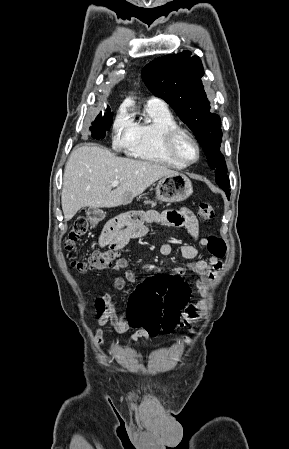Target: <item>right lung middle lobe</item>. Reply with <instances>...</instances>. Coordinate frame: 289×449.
I'll list each match as a JSON object with an SVG mask.
<instances>
[{
  "label": "right lung middle lobe",
  "instance_id": "1",
  "mask_svg": "<svg viewBox=\"0 0 289 449\" xmlns=\"http://www.w3.org/2000/svg\"><path fill=\"white\" fill-rule=\"evenodd\" d=\"M112 116L113 113H111L110 108L108 106L106 113L104 115H102V113L98 114L94 123L90 127L93 138L99 139L105 137L106 130H109L112 125L113 121Z\"/></svg>",
  "mask_w": 289,
  "mask_h": 449
}]
</instances>
